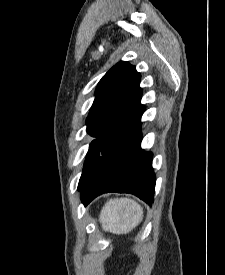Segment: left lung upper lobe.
I'll use <instances>...</instances> for the list:
<instances>
[{
	"label": "left lung upper lobe",
	"mask_w": 225,
	"mask_h": 275,
	"mask_svg": "<svg viewBox=\"0 0 225 275\" xmlns=\"http://www.w3.org/2000/svg\"><path fill=\"white\" fill-rule=\"evenodd\" d=\"M140 74L128 62H119L100 80L87 117V133L95 137L87 153L79 185L93 171L102 155L115 146L140 120ZM78 185V186H79Z\"/></svg>",
	"instance_id": "obj_1"
}]
</instances>
